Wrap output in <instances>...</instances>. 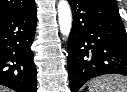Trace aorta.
<instances>
[{"label": "aorta", "instance_id": "1", "mask_svg": "<svg viewBox=\"0 0 127 92\" xmlns=\"http://www.w3.org/2000/svg\"><path fill=\"white\" fill-rule=\"evenodd\" d=\"M58 22L62 35L68 36L72 28V13L66 0H60L58 3Z\"/></svg>", "mask_w": 127, "mask_h": 92}]
</instances>
